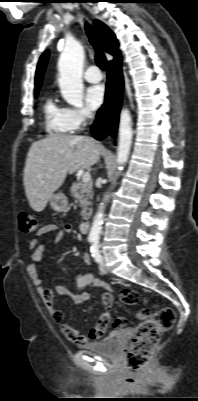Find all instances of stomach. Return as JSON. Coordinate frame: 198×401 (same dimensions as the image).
I'll list each match as a JSON object with an SVG mask.
<instances>
[{
    "instance_id": "obj_1",
    "label": "stomach",
    "mask_w": 198,
    "mask_h": 401,
    "mask_svg": "<svg viewBox=\"0 0 198 401\" xmlns=\"http://www.w3.org/2000/svg\"><path fill=\"white\" fill-rule=\"evenodd\" d=\"M50 206L56 212H64L68 206V200L65 194L58 192L53 194L50 198Z\"/></svg>"
}]
</instances>
